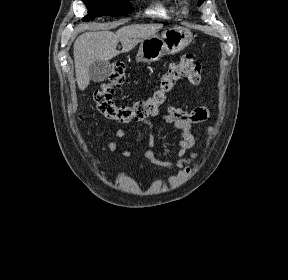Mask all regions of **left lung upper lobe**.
Returning <instances> with one entry per match:
<instances>
[{
    "mask_svg": "<svg viewBox=\"0 0 288 280\" xmlns=\"http://www.w3.org/2000/svg\"><path fill=\"white\" fill-rule=\"evenodd\" d=\"M204 0H199L198 5H200Z\"/></svg>",
    "mask_w": 288,
    "mask_h": 280,
    "instance_id": "1",
    "label": "left lung upper lobe"
}]
</instances>
